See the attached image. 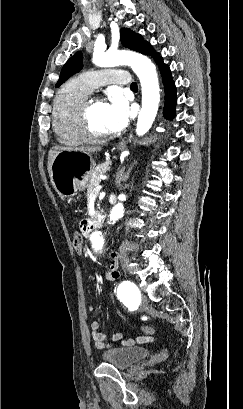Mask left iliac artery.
I'll list each match as a JSON object with an SVG mask.
<instances>
[{
    "mask_svg": "<svg viewBox=\"0 0 243 409\" xmlns=\"http://www.w3.org/2000/svg\"><path fill=\"white\" fill-rule=\"evenodd\" d=\"M115 290L117 291L118 297L124 300L131 309L136 308L140 303V292L135 284L125 281Z\"/></svg>",
    "mask_w": 243,
    "mask_h": 409,
    "instance_id": "44dca946",
    "label": "left iliac artery"
}]
</instances>
